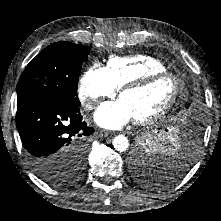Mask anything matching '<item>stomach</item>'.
Listing matches in <instances>:
<instances>
[{"mask_svg":"<svg viewBox=\"0 0 221 221\" xmlns=\"http://www.w3.org/2000/svg\"><path fill=\"white\" fill-rule=\"evenodd\" d=\"M166 131H167V130H166ZM167 134H171V132L168 131ZM172 143H173V142H171V140H168V141L166 142L165 146L168 147V146H170Z\"/></svg>","mask_w":221,"mask_h":221,"instance_id":"0dacf381","label":"stomach"}]
</instances>
